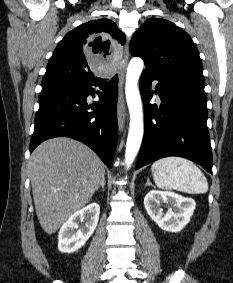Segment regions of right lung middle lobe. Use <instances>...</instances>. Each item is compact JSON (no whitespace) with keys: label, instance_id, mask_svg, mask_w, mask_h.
I'll return each mask as SVG.
<instances>
[{"label":"right lung middle lobe","instance_id":"right-lung-middle-lobe-1","mask_svg":"<svg viewBox=\"0 0 233 283\" xmlns=\"http://www.w3.org/2000/svg\"><path fill=\"white\" fill-rule=\"evenodd\" d=\"M48 83H52V82L42 83V85H45V84H48Z\"/></svg>","mask_w":233,"mask_h":283}]
</instances>
